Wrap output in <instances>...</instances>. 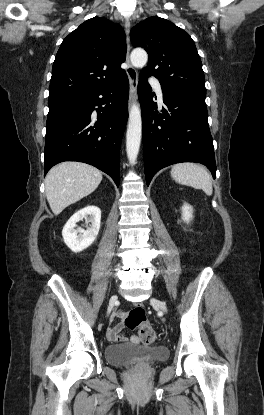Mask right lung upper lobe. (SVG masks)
<instances>
[{
  "label": "right lung upper lobe",
  "mask_w": 264,
  "mask_h": 415,
  "mask_svg": "<svg viewBox=\"0 0 264 415\" xmlns=\"http://www.w3.org/2000/svg\"><path fill=\"white\" fill-rule=\"evenodd\" d=\"M125 33L119 24L94 17L62 42L52 68L48 100L80 95L118 79L126 58Z\"/></svg>",
  "instance_id": "obj_1"
}]
</instances>
